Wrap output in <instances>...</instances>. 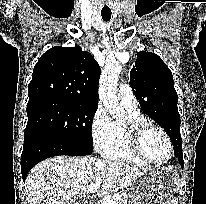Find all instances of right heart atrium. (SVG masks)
<instances>
[{
    "mask_svg": "<svg viewBox=\"0 0 206 204\" xmlns=\"http://www.w3.org/2000/svg\"><path fill=\"white\" fill-rule=\"evenodd\" d=\"M110 126L111 121L105 109L102 106H98L91 118L90 133L94 148L99 152L109 138Z\"/></svg>",
    "mask_w": 206,
    "mask_h": 204,
    "instance_id": "obj_1",
    "label": "right heart atrium"
}]
</instances>
